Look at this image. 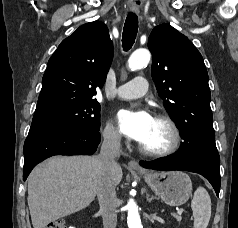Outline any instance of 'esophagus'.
Segmentation results:
<instances>
[{"label": "esophagus", "mask_w": 238, "mask_h": 228, "mask_svg": "<svg viewBox=\"0 0 238 228\" xmlns=\"http://www.w3.org/2000/svg\"><path fill=\"white\" fill-rule=\"evenodd\" d=\"M132 12L138 14L139 13V9L138 8H132L131 9ZM128 167L131 169H135V170H142L141 167L139 166L138 162L135 160H130L128 162Z\"/></svg>", "instance_id": "1"}]
</instances>
